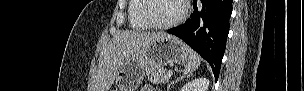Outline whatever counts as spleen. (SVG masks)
<instances>
[{"mask_svg":"<svg viewBox=\"0 0 304 91\" xmlns=\"http://www.w3.org/2000/svg\"><path fill=\"white\" fill-rule=\"evenodd\" d=\"M201 63L200 56L192 49L189 48V57L186 63V66L184 68L185 74H190L193 71H195Z\"/></svg>","mask_w":304,"mask_h":91,"instance_id":"3e777b00","label":"spleen"}]
</instances>
